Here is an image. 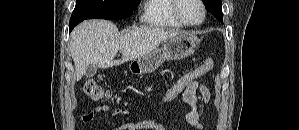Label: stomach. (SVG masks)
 <instances>
[{"label": "stomach", "mask_w": 299, "mask_h": 130, "mask_svg": "<svg viewBox=\"0 0 299 130\" xmlns=\"http://www.w3.org/2000/svg\"><path fill=\"white\" fill-rule=\"evenodd\" d=\"M199 39L193 33H183L164 42L143 57L133 60L129 70L133 74L152 73L165 60H179L186 58L197 50Z\"/></svg>", "instance_id": "obj_1"}]
</instances>
